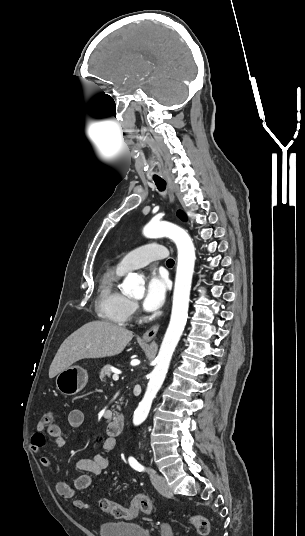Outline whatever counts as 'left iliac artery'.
I'll return each instance as SVG.
<instances>
[{"label": "left iliac artery", "instance_id": "obj_1", "mask_svg": "<svg viewBox=\"0 0 305 536\" xmlns=\"http://www.w3.org/2000/svg\"><path fill=\"white\" fill-rule=\"evenodd\" d=\"M129 463L132 468H134L137 471H144V467L138 463V461L134 457L129 458Z\"/></svg>", "mask_w": 305, "mask_h": 536}]
</instances>
